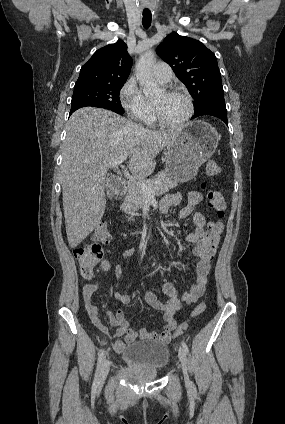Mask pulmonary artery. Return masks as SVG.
Returning a JSON list of instances; mask_svg holds the SVG:
<instances>
[{
  "instance_id": "e3ab8cb5",
  "label": "pulmonary artery",
  "mask_w": 285,
  "mask_h": 424,
  "mask_svg": "<svg viewBox=\"0 0 285 424\" xmlns=\"http://www.w3.org/2000/svg\"><path fill=\"white\" fill-rule=\"evenodd\" d=\"M153 74L158 82L165 84L170 81L172 70L168 64L159 62L153 67Z\"/></svg>"
}]
</instances>
